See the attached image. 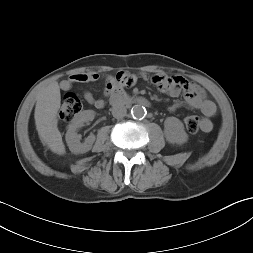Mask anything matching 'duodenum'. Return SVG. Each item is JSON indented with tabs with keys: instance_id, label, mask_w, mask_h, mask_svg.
Segmentation results:
<instances>
[{
	"instance_id": "obj_1",
	"label": "duodenum",
	"mask_w": 253,
	"mask_h": 253,
	"mask_svg": "<svg viewBox=\"0 0 253 253\" xmlns=\"http://www.w3.org/2000/svg\"><path fill=\"white\" fill-rule=\"evenodd\" d=\"M107 96L110 100L111 103L113 104H131V103H139L142 105H148L149 102L147 99L143 97H136L133 98L126 94L122 89L119 87L115 86L111 88L109 91H107Z\"/></svg>"
}]
</instances>
